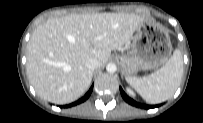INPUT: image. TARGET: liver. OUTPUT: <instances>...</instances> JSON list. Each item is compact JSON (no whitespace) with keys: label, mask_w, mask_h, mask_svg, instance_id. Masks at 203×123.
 Wrapping results in <instances>:
<instances>
[{"label":"liver","mask_w":203,"mask_h":123,"mask_svg":"<svg viewBox=\"0 0 203 123\" xmlns=\"http://www.w3.org/2000/svg\"><path fill=\"white\" fill-rule=\"evenodd\" d=\"M144 18L132 13L71 14L36 27L27 45V76L41 98L67 104L89 88L92 70L86 60L106 63Z\"/></svg>","instance_id":"liver-1"}]
</instances>
